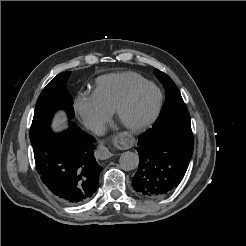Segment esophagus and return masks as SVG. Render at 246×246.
<instances>
[{"label": "esophagus", "instance_id": "esophagus-1", "mask_svg": "<svg viewBox=\"0 0 246 246\" xmlns=\"http://www.w3.org/2000/svg\"><path fill=\"white\" fill-rule=\"evenodd\" d=\"M97 156L101 160L109 159L113 156V153L109 150L108 147L101 145L97 150Z\"/></svg>", "mask_w": 246, "mask_h": 246}]
</instances>
